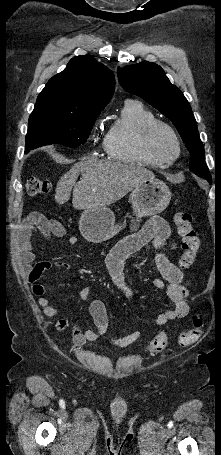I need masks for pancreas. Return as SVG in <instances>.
Here are the masks:
<instances>
[{
  "label": "pancreas",
  "mask_w": 221,
  "mask_h": 455,
  "mask_svg": "<svg viewBox=\"0 0 221 455\" xmlns=\"http://www.w3.org/2000/svg\"><path fill=\"white\" fill-rule=\"evenodd\" d=\"M130 227H131V229L136 230L139 227V224L133 222Z\"/></svg>",
  "instance_id": "1"
}]
</instances>
